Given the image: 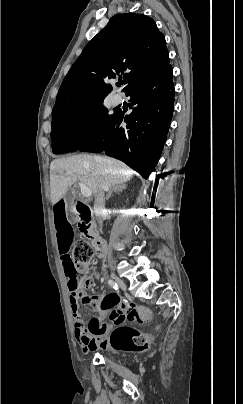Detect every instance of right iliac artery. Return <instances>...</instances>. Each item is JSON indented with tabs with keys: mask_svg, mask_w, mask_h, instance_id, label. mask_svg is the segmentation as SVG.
<instances>
[{
	"mask_svg": "<svg viewBox=\"0 0 243 404\" xmlns=\"http://www.w3.org/2000/svg\"><path fill=\"white\" fill-rule=\"evenodd\" d=\"M108 284H109L113 289H115V290H118V289H119L117 283L114 282L113 280H109V281H108Z\"/></svg>",
	"mask_w": 243,
	"mask_h": 404,
	"instance_id": "obj_1",
	"label": "right iliac artery"
}]
</instances>
